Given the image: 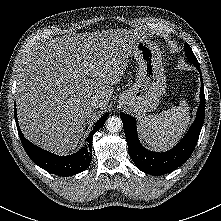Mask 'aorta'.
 Segmentation results:
<instances>
[{"label":"aorta","instance_id":"aorta-1","mask_svg":"<svg viewBox=\"0 0 221 221\" xmlns=\"http://www.w3.org/2000/svg\"><path fill=\"white\" fill-rule=\"evenodd\" d=\"M106 128L111 133L118 132L122 129V120L117 116L109 117L106 121Z\"/></svg>","mask_w":221,"mask_h":221}]
</instances>
